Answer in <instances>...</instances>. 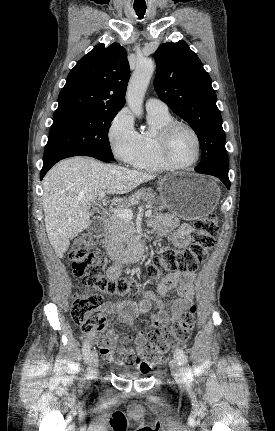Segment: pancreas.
<instances>
[{
  "label": "pancreas",
  "mask_w": 275,
  "mask_h": 431,
  "mask_svg": "<svg viewBox=\"0 0 275 431\" xmlns=\"http://www.w3.org/2000/svg\"><path fill=\"white\" fill-rule=\"evenodd\" d=\"M139 200H143L151 205L156 211L165 208L163 200L156 199L151 190L142 189L135 192L120 208H129ZM156 205V207L154 206ZM134 225L130 220H124L115 214L112 215L105 226L103 246L107 250H117L133 233Z\"/></svg>",
  "instance_id": "1"
}]
</instances>
